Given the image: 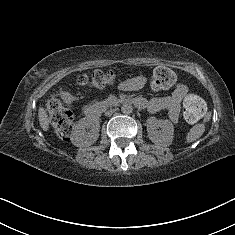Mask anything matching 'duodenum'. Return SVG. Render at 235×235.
Wrapping results in <instances>:
<instances>
[{
  "label": "duodenum",
  "mask_w": 235,
  "mask_h": 235,
  "mask_svg": "<svg viewBox=\"0 0 235 235\" xmlns=\"http://www.w3.org/2000/svg\"><path fill=\"white\" fill-rule=\"evenodd\" d=\"M85 113L88 118L94 119L100 116V108L95 105H90L86 108Z\"/></svg>",
  "instance_id": "duodenum-1"
}]
</instances>
